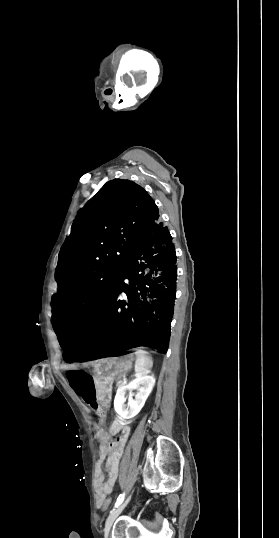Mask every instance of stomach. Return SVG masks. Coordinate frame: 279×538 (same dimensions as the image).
Wrapping results in <instances>:
<instances>
[{
  "mask_svg": "<svg viewBox=\"0 0 279 538\" xmlns=\"http://www.w3.org/2000/svg\"><path fill=\"white\" fill-rule=\"evenodd\" d=\"M132 366L131 353H110L108 358H100L95 375L100 378L96 389L97 399L107 407L110 402L111 382H118L119 374H124Z\"/></svg>",
  "mask_w": 279,
  "mask_h": 538,
  "instance_id": "obj_1",
  "label": "stomach"
}]
</instances>
